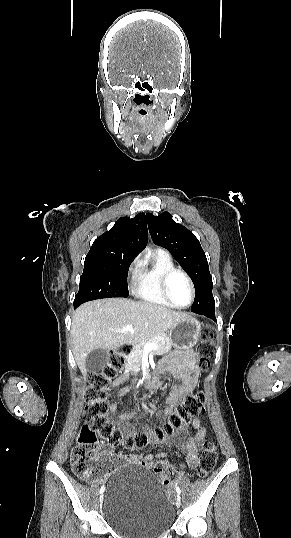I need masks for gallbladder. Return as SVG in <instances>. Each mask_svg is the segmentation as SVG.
I'll return each mask as SVG.
<instances>
[{"mask_svg":"<svg viewBox=\"0 0 291 538\" xmlns=\"http://www.w3.org/2000/svg\"><path fill=\"white\" fill-rule=\"evenodd\" d=\"M108 359V351L103 349H96L91 351L85 360L86 370L90 373H97L102 370Z\"/></svg>","mask_w":291,"mask_h":538,"instance_id":"bac80fb5","label":"gallbladder"}]
</instances>
